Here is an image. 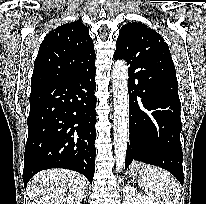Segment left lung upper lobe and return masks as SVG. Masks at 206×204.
<instances>
[{
  "label": "left lung upper lobe",
  "instance_id": "obj_1",
  "mask_svg": "<svg viewBox=\"0 0 206 204\" xmlns=\"http://www.w3.org/2000/svg\"><path fill=\"white\" fill-rule=\"evenodd\" d=\"M114 59H125L130 67L149 68L150 78L156 80L162 73L177 82L169 47L153 29L140 22H128L119 32Z\"/></svg>",
  "mask_w": 206,
  "mask_h": 204
}]
</instances>
